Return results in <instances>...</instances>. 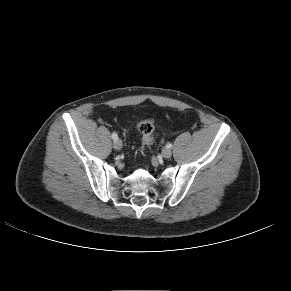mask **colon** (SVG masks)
Returning <instances> with one entry per match:
<instances>
[{
    "label": "colon",
    "instance_id": "obj_1",
    "mask_svg": "<svg viewBox=\"0 0 291 291\" xmlns=\"http://www.w3.org/2000/svg\"><path fill=\"white\" fill-rule=\"evenodd\" d=\"M139 132L141 134V142L148 147L153 143L154 122L152 119H145L139 124Z\"/></svg>",
    "mask_w": 291,
    "mask_h": 291
}]
</instances>
